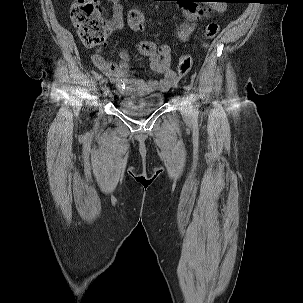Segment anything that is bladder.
Listing matches in <instances>:
<instances>
[{"label": "bladder", "mask_w": 303, "mask_h": 303, "mask_svg": "<svg viewBox=\"0 0 303 303\" xmlns=\"http://www.w3.org/2000/svg\"><path fill=\"white\" fill-rule=\"evenodd\" d=\"M164 94H123L119 100L122 112L132 117H143L158 109L164 101Z\"/></svg>", "instance_id": "bladder-1"}]
</instances>
